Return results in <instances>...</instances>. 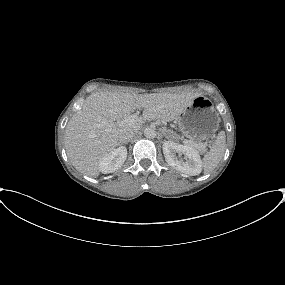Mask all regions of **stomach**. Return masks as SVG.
Instances as JSON below:
<instances>
[{"mask_svg": "<svg viewBox=\"0 0 285 285\" xmlns=\"http://www.w3.org/2000/svg\"><path fill=\"white\" fill-rule=\"evenodd\" d=\"M179 130L193 140H205L214 135L220 118L213 102L200 95L176 118Z\"/></svg>", "mask_w": 285, "mask_h": 285, "instance_id": "stomach-1", "label": "stomach"}]
</instances>
